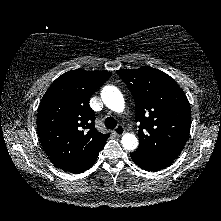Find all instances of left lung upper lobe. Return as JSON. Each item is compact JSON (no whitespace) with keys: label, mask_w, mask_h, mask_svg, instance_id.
I'll use <instances>...</instances> for the list:
<instances>
[{"label":"left lung upper lobe","mask_w":221,"mask_h":221,"mask_svg":"<svg viewBox=\"0 0 221 221\" xmlns=\"http://www.w3.org/2000/svg\"><path fill=\"white\" fill-rule=\"evenodd\" d=\"M131 91L139 122V154L175 160L190 133L188 99L166 73L151 68L116 71Z\"/></svg>","instance_id":"left-lung-upper-lobe-1"}]
</instances>
